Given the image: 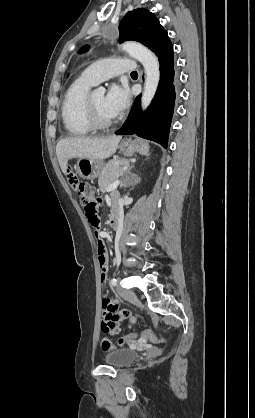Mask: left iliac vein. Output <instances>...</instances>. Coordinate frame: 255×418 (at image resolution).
Masks as SVG:
<instances>
[{
    "instance_id": "left-iliac-vein-1",
    "label": "left iliac vein",
    "mask_w": 255,
    "mask_h": 418,
    "mask_svg": "<svg viewBox=\"0 0 255 418\" xmlns=\"http://www.w3.org/2000/svg\"><path fill=\"white\" fill-rule=\"evenodd\" d=\"M116 291L120 296H122L123 298H125L129 301H134L136 299V295L131 290H127V289H124L120 286H117Z\"/></svg>"
}]
</instances>
